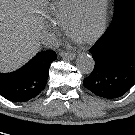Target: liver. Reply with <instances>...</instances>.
<instances>
[{
    "label": "liver",
    "mask_w": 135,
    "mask_h": 135,
    "mask_svg": "<svg viewBox=\"0 0 135 135\" xmlns=\"http://www.w3.org/2000/svg\"><path fill=\"white\" fill-rule=\"evenodd\" d=\"M46 0H0V72L13 71L40 49Z\"/></svg>",
    "instance_id": "obj_1"
}]
</instances>
